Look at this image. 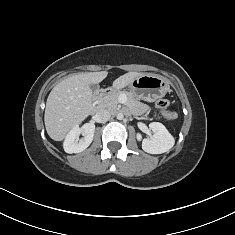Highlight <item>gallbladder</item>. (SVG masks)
<instances>
[{"mask_svg": "<svg viewBox=\"0 0 235 235\" xmlns=\"http://www.w3.org/2000/svg\"><path fill=\"white\" fill-rule=\"evenodd\" d=\"M90 88L92 91H96L98 89V85L97 84H91Z\"/></svg>", "mask_w": 235, "mask_h": 235, "instance_id": "obj_1", "label": "gallbladder"}]
</instances>
